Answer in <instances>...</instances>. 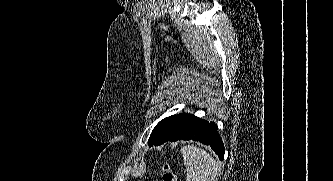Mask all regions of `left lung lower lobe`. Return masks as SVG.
<instances>
[{
  "label": "left lung lower lobe",
  "instance_id": "left-lung-lower-lobe-1",
  "mask_svg": "<svg viewBox=\"0 0 333 181\" xmlns=\"http://www.w3.org/2000/svg\"><path fill=\"white\" fill-rule=\"evenodd\" d=\"M217 129L218 127L214 122H209L196 117L186 129L170 141L194 140L201 142L202 144L209 145L218 155L219 159L223 160L225 149ZM163 143L165 142L162 140L154 139L153 142L149 143V146H152L153 144L158 146Z\"/></svg>",
  "mask_w": 333,
  "mask_h": 181
}]
</instances>
